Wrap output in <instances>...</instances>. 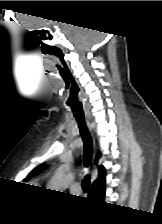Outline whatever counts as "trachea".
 Segmentation results:
<instances>
[{
	"mask_svg": "<svg viewBox=\"0 0 162 224\" xmlns=\"http://www.w3.org/2000/svg\"><path fill=\"white\" fill-rule=\"evenodd\" d=\"M74 117L78 123L80 134L84 142V155H83L84 166L88 167L92 158V151H93L92 139L86 127L85 118L80 116H74ZM89 184H90V178L89 175H86L85 178L82 180V188L84 192H87Z\"/></svg>",
	"mask_w": 162,
	"mask_h": 224,
	"instance_id": "obj_1",
	"label": "trachea"
}]
</instances>
